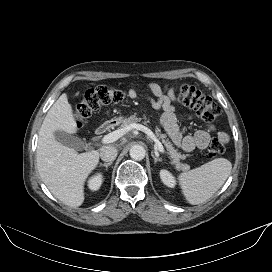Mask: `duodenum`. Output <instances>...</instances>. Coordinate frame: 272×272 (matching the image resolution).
I'll return each instance as SVG.
<instances>
[{
    "instance_id": "410a0bca",
    "label": "duodenum",
    "mask_w": 272,
    "mask_h": 272,
    "mask_svg": "<svg viewBox=\"0 0 272 272\" xmlns=\"http://www.w3.org/2000/svg\"><path fill=\"white\" fill-rule=\"evenodd\" d=\"M114 126V122L113 121H107L104 122L103 124H101L97 130H96V134L98 136H102L105 133H107L112 127Z\"/></svg>"
}]
</instances>
